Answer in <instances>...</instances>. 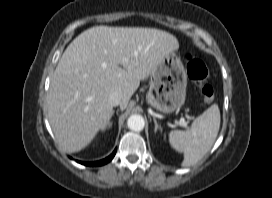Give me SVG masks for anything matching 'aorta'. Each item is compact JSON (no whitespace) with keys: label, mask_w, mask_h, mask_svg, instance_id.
Listing matches in <instances>:
<instances>
[{"label":"aorta","mask_w":272,"mask_h":198,"mask_svg":"<svg viewBox=\"0 0 272 198\" xmlns=\"http://www.w3.org/2000/svg\"><path fill=\"white\" fill-rule=\"evenodd\" d=\"M127 125L133 131H141L145 126V121L141 115L134 114L128 118Z\"/></svg>","instance_id":"obj_1"}]
</instances>
